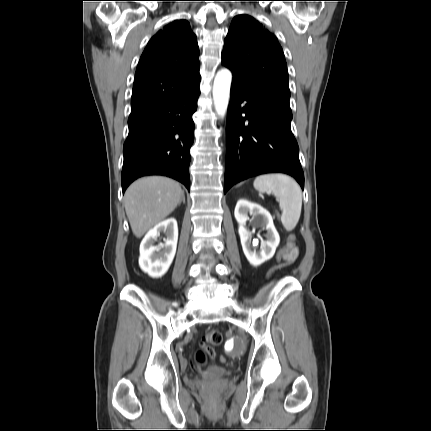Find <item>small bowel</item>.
<instances>
[{
  "instance_id": "1",
  "label": "small bowel",
  "mask_w": 431,
  "mask_h": 431,
  "mask_svg": "<svg viewBox=\"0 0 431 431\" xmlns=\"http://www.w3.org/2000/svg\"><path fill=\"white\" fill-rule=\"evenodd\" d=\"M297 243L294 240H291L288 243V246H285V251L287 253H283L282 261H279V265H273L271 268V273H279V266H284V263H292L296 260L298 256Z\"/></svg>"
}]
</instances>
